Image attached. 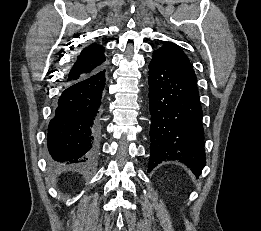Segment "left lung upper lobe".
<instances>
[{
    "instance_id": "left-lung-upper-lobe-1",
    "label": "left lung upper lobe",
    "mask_w": 261,
    "mask_h": 231,
    "mask_svg": "<svg viewBox=\"0 0 261 231\" xmlns=\"http://www.w3.org/2000/svg\"><path fill=\"white\" fill-rule=\"evenodd\" d=\"M153 54L161 57L170 67L182 76L196 83V76L188 57L176 44L165 42V44L161 48L155 50Z\"/></svg>"
}]
</instances>
